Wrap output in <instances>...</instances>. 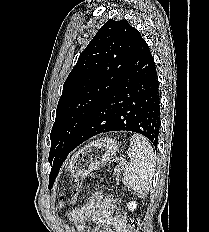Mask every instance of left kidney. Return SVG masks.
I'll use <instances>...</instances> for the list:
<instances>
[{"label":"left kidney","mask_w":209,"mask_h":232,"mask_svg":"<svg viewBox=\"0 0 209 232\" xmlns=\"http://www.w3.org/2000/svg\"><path fill=\"white\" fill-rule=\"evenodd\" d=\"M127 207L130 211H134L137 208V203L135 201H131L127 204Z\"/></svg>","instance_id":"left-kidney-1"}]
</instances>
